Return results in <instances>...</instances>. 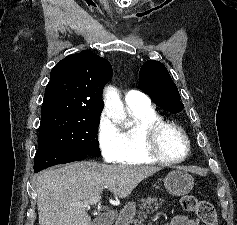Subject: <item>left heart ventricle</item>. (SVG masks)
<instances>
[{"instance_id": "1", "label": "left heart ventricle", "mask_w": 237, "mask_h": 225, "mask_svg": "<svg viewBox=\"0 0 237 225\" xmlns=\"http://www.w3.org/2000/svg\"><path fill=\"white\" fill-rule=\"evenodd\" d=\"M161 148L164 154L171 158L182 157L186 146L181 135L175 130H166L161 136Z\"/></svg>"}]
</instances>
